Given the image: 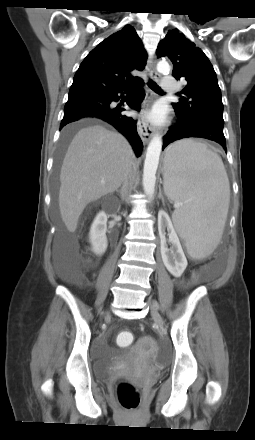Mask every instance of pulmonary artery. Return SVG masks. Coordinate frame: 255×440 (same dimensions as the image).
<instances>
[{
  "mask_svg": "<svg viewBox=\"0 0 255 440\" xmlns=\"http://www.w3.org/2000/svg\"><path fill=\"white\" fill-rule=\"evenodd\" d=\"M161 85L165 92H173L177 88L175 78L171 75L164 76Z\"/></svg>",
  "mask_w": 255,
  "mask_h": 440,
  "instance_id": "e3ab8cb5",
  "label": "pulmonary artery"
}]
</instances>
